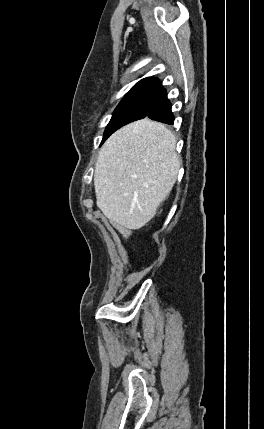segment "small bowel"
Segmentation results:
<instances>
[{"label":"small bowel","instance_id":"small-bowel-1","mask_svg":"<svg viewBox=\"0 0 264 429\" xmlns=\"http://www.w3.org/2000/svg\"><path fill=\"white\" fill-rule=\"evenodd\" d=\"M122 236L124 237V238H126L128 235H127V233H122Z\"/></svg>","mask_w":264,"mask_h":429}]
</instances>
